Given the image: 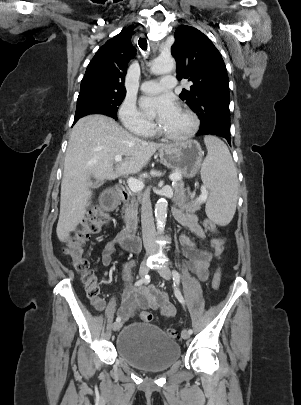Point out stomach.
Segmentation results:
<instances>
[{
    "mask_svg": "<svg viewBox=\"0 0 301 405\" xmlns=\"http://www.w3.org/2000/svg\"><path fill=\"white\" fill-rule=\"evenodd\" d=\"M202 149L196 140L167 145L159 150L161 163L173 171H181L187 178L196 175L202 162Z\"/></svg>",
    "mask_w": 301,
    "mask_h": 405,
    "instance_id": "stomach-1",
    "label": "stomach"
}]
</instances>
